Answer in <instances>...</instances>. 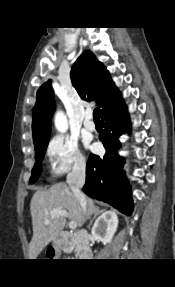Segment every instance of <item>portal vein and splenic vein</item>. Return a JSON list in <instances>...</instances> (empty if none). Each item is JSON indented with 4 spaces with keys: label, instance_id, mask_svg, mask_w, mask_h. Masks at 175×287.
I'll return each mask as SVG.
<instances>
[{
    "label": "portal vein and splenic vein",
    "instance_id": "obj_1",
    "mask_svg": "<svg viewBox=\"0 0 175 287\" xmlns=\"http://www.w3.org/2000/svg\"><path fill=\"white\" fill-rule=\"evenodd\" d=\"M50 215L52 218L59 216L68 217V212L66 210L54 209L51 211ZM45 223H47V220L45 221ZM69 228L76 229L77 228L76 222L74 221L69 222Z\"/></svg>",
    "mask_w": 175,
    "mask_h": 287
}]
</instances>
